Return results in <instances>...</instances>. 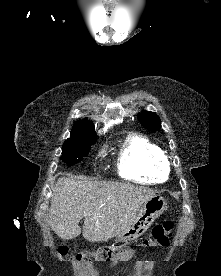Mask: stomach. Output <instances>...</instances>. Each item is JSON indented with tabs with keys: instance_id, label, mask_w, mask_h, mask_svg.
Here are the masks:
<instances>
[{
	"instance_id": "0dacf381",
	"label": "stomach",
	"mask_w": 221,
	"mask_h": 276,
	"mask_svg": "<svg viewBox=\"0 0 221 276\" xmlns=\"http://www.w3.org/2000/svg\"><path fill=\"white\" fill-rule=\"evenodd\" d=\"M166 205V200L158 195L146 201L126 230L115 236V243L133 241L142 236L154 220L164 212Z\"/></svg>"
}]
</instances>
